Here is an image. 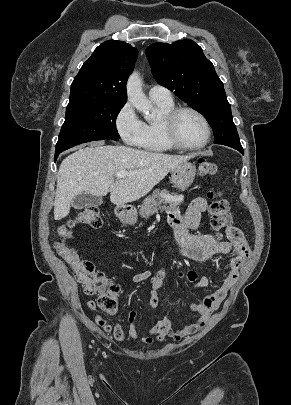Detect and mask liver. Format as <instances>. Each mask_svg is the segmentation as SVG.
Segmentation results:
<instances>
[{"mask_svg": "<svg viewBox=\"0 0 291 405\" xmlns=\"http://www.w3.org/2000/svg\"><path fill=\"white\" fill-rule=\"evenodd\" d=\"M189 158L118 145L80 148L59 167L54 219L65 218L73 199L82 193L101 197L110 192V200L117 206L138 200ZM119 171L129 174L115 182Z\"/></svg>", "mask_w": 291, "mask_h": 405, "instance_id": "6515ba94", "label": "liver"}]
</instances>
